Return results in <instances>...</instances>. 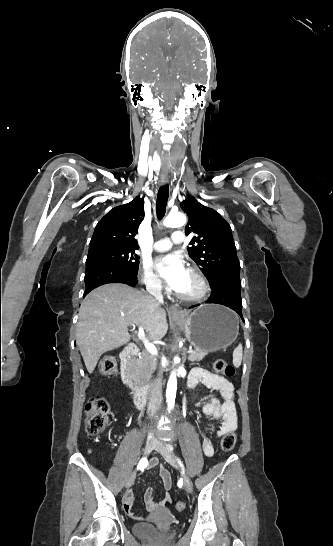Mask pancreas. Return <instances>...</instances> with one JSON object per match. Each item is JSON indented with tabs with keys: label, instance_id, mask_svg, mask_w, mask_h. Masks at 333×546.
<instances>
[{
	"label": "pancreas",
	"instance_id": "1",
	"mask_svg": "<svg viewBox=\"0 0 333 546\" xmlns=\"http://www.w3.org/2000/svg\"><path fill=\"white\" fill-rule=\"evenodd\" d=\"M208 354V351L195 349L192 353H190L188 359L191 362L194 361H201L203 358ZM156 358L151 355L148 351L143 352L139 359L136 361V372L134 376L132 377L134 383L139 386L143 387L146 386L150 379L152 378V374L156 370Z\"/></svg>",
	"mask_w": 333,
	"mask_h": 546
}]
</instances>
